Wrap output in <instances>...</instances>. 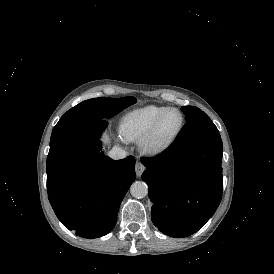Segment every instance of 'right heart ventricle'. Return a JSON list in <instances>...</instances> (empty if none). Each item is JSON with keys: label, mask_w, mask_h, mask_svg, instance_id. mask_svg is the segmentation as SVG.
I'll list each match as a JSON object with an SVG mask.
<instances>
[{"label": "right heart ventricle", "mask_w": 274, "mask_h": 274, "mask_svg": "<svg viewBox=\"0 0 274 274\" xmlns=\"http://www.w3.org/2000/svg\"><path fill=\"white\" fill-rule=\"evenodd\" d=\"M165 110L166 107L146 105L129 111L120 120V135L127 141L139 140Z\"/></svg>", "instance_id": "e07e8e85"}]
</instances>
